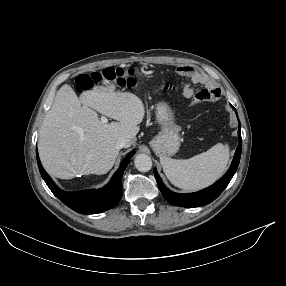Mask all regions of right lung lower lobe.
Returning <instances> with one entry per match:
<instances>
[{
  "label": "right lung lower lobe",
  "instance_id": "obj_1",
  "mask_svg": "<svg viewBox=\"0 0 286 286\" xmlns=\"http://www.w3.org/2000/svg\"><path fill=\"white\" fill-rule=\"evenodd\" d=\"M36 155L41 176L52 193L65 205L78 213L95 214L113 208L121 199L122 175L129 163V159L134 155V151L124 159L122 165L106 186L97 190L90 189L78 192L60 190L42 167L37 150Z\"/></svg>",
  "mask_w": 286,
  "mask_h": 286
}]
</instances>
